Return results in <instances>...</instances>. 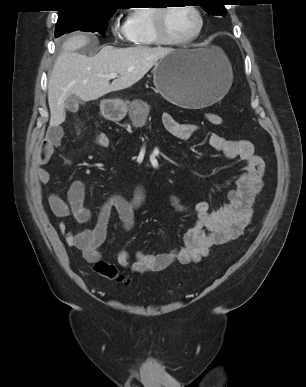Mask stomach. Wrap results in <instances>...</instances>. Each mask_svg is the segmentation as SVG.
<instances>
[{"instance_id": "obj_1", "label": "stomach", "mask_w": 306, "mask_h": 387, "mask_svg": "<svg viewBox=\"0 0 306 387\" xmlns=\"http://www.w3.org/2000/svg\"><path fill=\"white\" fill-rule=\"evenodd\" d=\"M231 66L218 47L177 49L161 58L154 67L157 91L169 102L188 109L209 106L224 97L232 84ZM103 117L120 121L128 111L121 99L100 102Z\"/></svg>"}]
</instances>
